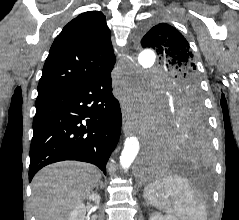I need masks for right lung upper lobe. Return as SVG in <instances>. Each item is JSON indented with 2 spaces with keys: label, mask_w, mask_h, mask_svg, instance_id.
I'll return each mask as SVG.
<instances>
[{
  "label": "right lung upper lobe",
  "mask_w": 239,
  "mask_h": 220,
  "mask_svg": "<svg viewBox=\"0 0 239 220\" xmlns=\"http://www.w3.org/2000/svg\"><path fill=\"white\" fill-rule=\"evenodd\" d=\"M111 33L100 11L80 14L54 40L38 84V96L79 87L113 68Z\"/></svg>",
  "instance_id": "cb5924a9"
}]
</instances>
